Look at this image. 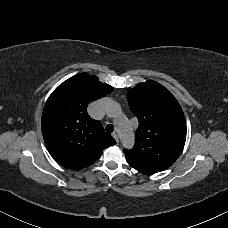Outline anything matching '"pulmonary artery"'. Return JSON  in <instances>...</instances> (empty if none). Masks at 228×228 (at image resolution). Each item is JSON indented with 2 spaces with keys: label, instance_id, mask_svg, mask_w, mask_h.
Instances as JSON below:
<instances>
[{
  "label": "pulmonary artery",
  "instance_id": "1",
  "mask_svg": "<svg viewBox=\"0 0 228 228\" xmlns=\"http://www.w3.org/2000/svg\"><path fill=\"white\" fill-rule=\"evenodd\" d=\"M108 115H109V116L112 115V111H111V110L108 111Z\"/></svg>",
  "mask_w": 228,
  "mask_h": 228
}]
</instances>
